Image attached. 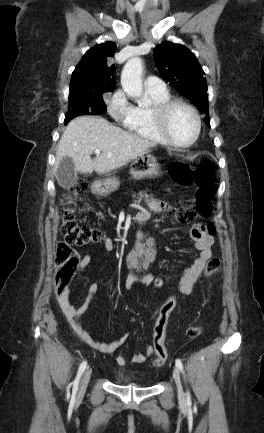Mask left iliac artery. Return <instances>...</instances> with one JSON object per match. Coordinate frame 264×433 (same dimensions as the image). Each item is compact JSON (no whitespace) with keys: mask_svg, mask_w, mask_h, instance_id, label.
<instances>
[{"mask_svg":"<svg viewBox=\"0 0 264 433\" xmlns=\"http://www.w3.org/2000/svg\"><path fill=\"white\" fill-rule=\"evenodd\" d=\"M176 366L180 369V371L183 372V365L180 359H176L175 361ZM187 403L190 404L191 403V398H190V393L187 392Z\"/></svg>","mask_w":264,"mask_h":433,"instance_id":"left-iliac-artery-1","label":"left iliac artery"}]
</instances>
